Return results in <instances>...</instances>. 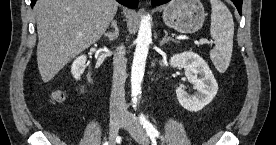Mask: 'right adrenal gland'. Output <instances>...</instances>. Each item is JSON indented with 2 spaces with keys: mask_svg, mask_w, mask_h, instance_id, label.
<instances>
[{
  "mask_svg": "<svg viewBox=\"0 0 276 145\" xmlns=\"http://www.w3.org/2000/svg\"><path fill=\"white\" fill-rule=\"evenodd\" d=\"M111 27L114 29L113 32L104 33V36L107 37L109 39V41H113V40L117 39V37L119 35V28L117 25V21L112 20Z\"/></svg>",
  "mask_w": 276,
  "mask_h": 145,
  "instance_id": "2a0ac1e0",
  "label": "right adrenal gland"
}]
</instances>
